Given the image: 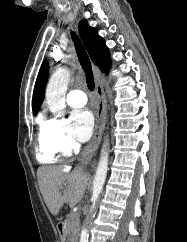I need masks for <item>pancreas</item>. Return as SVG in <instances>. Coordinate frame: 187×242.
I'll list each match as a JSON object with an SVG mask.
<instances>
[{"label":"pancreas","instance_id":"cf45deb5","mask_svg":"<svg viewBox=\"0 0 187 242\" xmlns=\"http://www.w3.org/2000/svg\"><path fill=\"white\" fill-rule=\"evenodd\" d=\"M80 231V214L72 213L65 220V233L68 242H78Z\"/></svg>","mask_w":187,"mask_h":242}]
</instances>
